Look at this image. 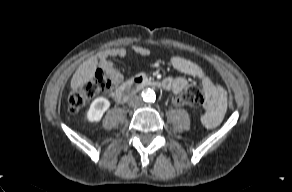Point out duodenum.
I'll use <instances>...</instances> for the list:
<instances>
[{
    "mask_svg": "<svg viewBox=\"0 0 292 192\" xmlns=\"http://www.w3.org/2000/svg\"><path fill=\"white\" fill-rule=\"evenodd\" d=\"M159 86H160V83L157 81H154L142 75L135 76L133 79L125 82L122 85V88L118 97V101L120 103L125 102L132 95L136 94L138 91H140L141 89L145 87H159Z\"/></svg>",
    "mask_w": 292,
    "mask_h": 192,
    "instance_id": "duodenum-1",
    "label": "duodenum"
}]
</instances>
